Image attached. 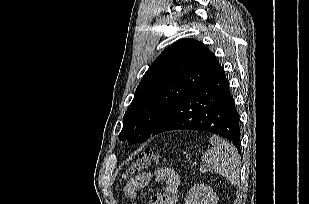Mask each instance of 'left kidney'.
I'll return each mask as SVG.
<instances>
[{"instance_id":"obj_1","label":"left kidney","mask_w":309,"mask_h":204,"mask_svg":"<svg viewBox=\"0 0 309 204\" xmlns=\"http://www.w3.org/2000/svg\"><path fill=\"white\" fill-rule=\"evenodd\" d=\"M185 204H218V197L211 187L197 184L189 190Z\"/></svg>"}]
</instances>
